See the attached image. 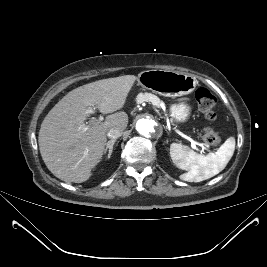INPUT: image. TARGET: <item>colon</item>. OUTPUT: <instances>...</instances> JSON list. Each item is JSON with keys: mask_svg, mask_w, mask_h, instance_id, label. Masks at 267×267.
Returning <instances> with one entry per match:
<instances>
[{"mask_svg": "<svg viewBox=\"0 0 267 267\" xmlns=\"http://www.w3.org/2000/svg\"><path fill=\"white\" fill-rule=\"evenodd\" d=\"M195 98L205 118L210 121L215 120L217 118L215 96L207 88L201 87L195 91ZM203 141L208 146H216L220 142V136L214 129L208 127L204 130Z\"/></svg>", "mask_w": 267, "mask_h": 267, "instance_id": "1", "label": "colon"}]
</instances>
